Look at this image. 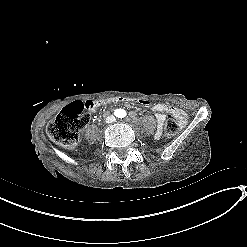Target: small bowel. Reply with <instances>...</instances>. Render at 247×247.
<instances>
[{
  "mask_svg": "<svg viewBox=\"0 0 247 247\" xmlns=\"http://www.w3.org/2000/svg\"><path fill=\"white\" fill-rule=\"evenodd\" d=\"M150 108L155 112L158 131L162 130L168 114L173 115L179 121L180 125H183L186 121V114L179 108L162 103L154 104Z\"/></svg>",
  "mask_w": 247,
  "mask_h": 247,
  "instance_id": "small-bowel-1",
  "label": "small bowel"
}]
</instances>
